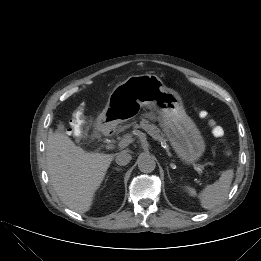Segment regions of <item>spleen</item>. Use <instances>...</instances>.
Wrapping results in <instances>:
<instances>
[{"instance_id": "3e777b00", "label": "spleen", "mask_w": 261, "mask_h": 261, "mask_svg": "<svg viewBox=\"0 0 261 261\" xmlns=\"http://www.w3.org/2000/svg\"><path fill=\"white\" fill-rule=\"evenodd\" d=\"M233 175L232 169L224 171L217 182L208 185L199 193L198 198L204 209H213L227 198ZM188 193L190 196H197L194 188H188Z\"/></svg>"}]
</instances>
